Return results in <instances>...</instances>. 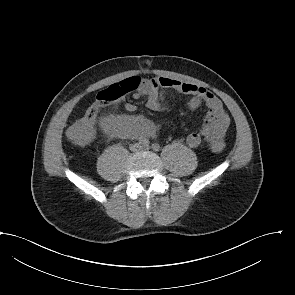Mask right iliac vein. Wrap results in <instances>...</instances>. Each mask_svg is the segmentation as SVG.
I'll return each instance as SVG.
<instances>
[{
    "instance_id": "63e3f726",
    "label": "right iliac vein",
    "mask_w": 295,
    "mask_h": 295,
    "mask_svg": "<svg viewBox=\"0 0 295 295\" xmlns=\"http://www.w3.org/2000/svg\"><path fill=\"white\" fill-rule=\"evenodd\" d=\"M140 147H141L140 144L136 143V144L131 145L130 149L132 152H137L140 149Z\"/></svg>"
}]
</instances>
